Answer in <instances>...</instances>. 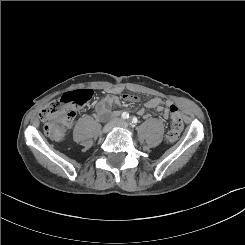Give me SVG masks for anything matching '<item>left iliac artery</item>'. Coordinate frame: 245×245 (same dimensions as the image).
Returning <instances> with one entry per match:
<instances>
[{
    "label": "left iliac artery",
    "instance_id": "left-iliac-artery-1",
    "mask_svg": "<svg viewBox=\"0 0 245 245\" xmlns=\"http://www.w3.org/2000/svg\"><path fill=\"white\" fill-rule=\"evenodd\" d=\"M138 122V119L136 117H133L131 120H130V125L131 127H135L136 124Z\"/></svg>",
    "mask_w": 245,
    "mask_h": 245
}]
</instances>
